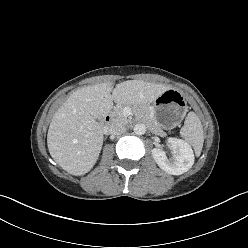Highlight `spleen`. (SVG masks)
<instances>
[{"instance_id": "spleen-1", "label": "spleen", "mask_w": 248, "mask_h": 248, "mask_svg": "<svg viewBox=\"0 0 248 248\" xmlns=\"http://www.w3.org/2000/svg\"><path fill=\"white\" fill-rule=\"evenodd\" d=\"M180 135L187 143L193 146L195 153L200 155L204 142L203 126L194 112H189L186 116Z\"/></svg>"}]
</instances>
